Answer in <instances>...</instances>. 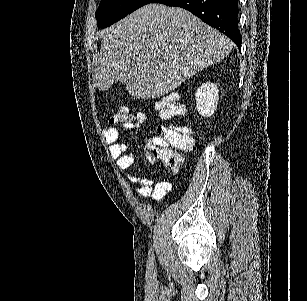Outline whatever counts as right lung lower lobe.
Returning <instances> with one entry per match:
<instances>
[{
	"mask_svg": "<svg viewBox=\"0 0 307 301\" xmlns=\"http://www.w3.org/2000/svg\"><path fill=\"white\" fill-rule=\"evenodd\" d=\"M168 6L182 7L210 26L228 36L241 49L242 38L238 29V0H153Z\"/></svg>",
	"mask_w": 307,
	"mask_h": 301,
	"instance_id": "obj_1",
	"label": "right lung lower lobe"
}]
</instances>
